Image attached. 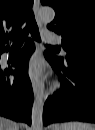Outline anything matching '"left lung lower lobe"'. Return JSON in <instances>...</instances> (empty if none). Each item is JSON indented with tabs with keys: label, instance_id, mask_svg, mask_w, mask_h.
I'll use <instances>...</instances> for the list:
<instances>
[{
	"label": "left lung lower lobe",
	"instance_id": "obj_1",
	"mask_svg": "<svg viewBox=\"0 0 95 130\" xmlns=\"http://www.w3.org/2000/svg\"><path fill=\"white\" fill-rule=\"evenodd\" d=\"M44 55L59 74L62 87L45 102L43 123L95 122V59L66 58L63 61L50 52Z\"/></svg>",
	"mask_w": 95,
	"mask_h": 130
}]
</instances>
